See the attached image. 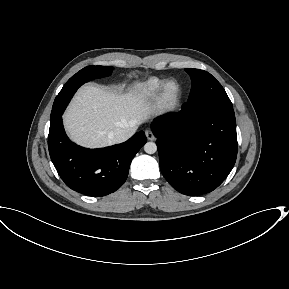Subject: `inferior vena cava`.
<instances>
[{"label":"inferior vena cava","instance_id":"inferior-vena-cava-1","mask_svg":"<svg viewBox=\"0 0 289 289\" xmlns=\"http://www.w3.org/2000/svg\"><path fill=\"white\" fill-rule=\"evenodd\" d=\"M131 136L130 132L126 129L117 128L109 133L108 137L114 143H121L126 141Z\"/></svg>","mask_w":289,"mask_h":289}]
</instances>
